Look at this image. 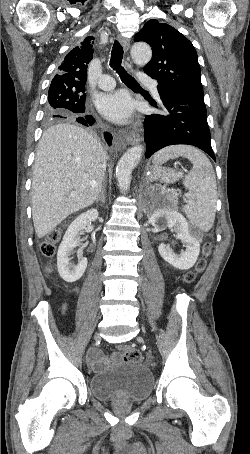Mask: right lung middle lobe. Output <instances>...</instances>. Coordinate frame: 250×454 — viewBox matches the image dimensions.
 Masks as SVG:
<instances>
[{"mask_svg": "<svg viewBox=\"0 0 250 454\" xmlns=\"http://www.w3.org/2000/svg\"><path fill=\"white\" fill-rule=\"evenodd\" d=\"M85 86L74 88L50 86L45 108L47 121L72 117L85 110Z\"/></svg>", "mask_w": 250, "mask_h": 454, "instance_id": "right-lung-middle-lobe-1", "label": "right lung middle lobe"}]
</instances>
